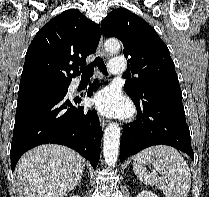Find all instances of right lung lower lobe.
Listing matches in <instances>:
<instances>
[{"label": "right lung lower lobe", "instance_id": "98d812e1", "mask_svg": "<svg viewBox=\"0 0 209 197\" xmlns=\"http://www.w3.org/2000/svg\"><path fill=\"white\" fill-rule=\"evenodd\" d=\"M98 85L94 82L87 96H91ZM66 94L38 97L17 104L10 151L12 170L27 150L46 143L68 146L96 168L102 136L97 112L75 107L81 97L69 99Z\"/></svg>", "mask_w": 209, "mask_h": 197}]
</instances>
